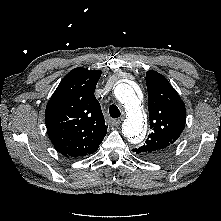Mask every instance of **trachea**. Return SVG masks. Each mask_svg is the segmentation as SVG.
Listing matches in <instances>:
<instances>
[{"mask_svg": "<svg viewBox=\"0 0 221 221\" xmlns=\"http://www.w3.org/2000/svg\"><path fill=\"white\" fill-rule=\"evenodd\" d=\"M109 114L112 118H118L121 115L120 110L114 104L109 107Z\"/></svg>", "mask_w": 221, "mask_h": 221, "instance_id": "trachea-1", "label": "trachea"}]
</instances>
